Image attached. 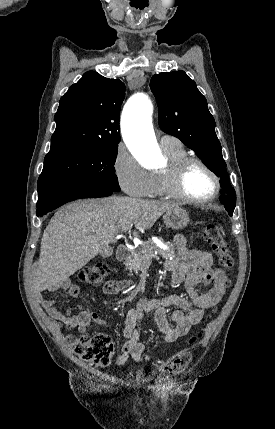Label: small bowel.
I'll use <instances>...</instances> for the list:
<instances>
[{
    "label": "small bowel",
    "mask_w": 275,
    "mask_h": 429,
    "mask_svg": "<svg viewBox=\"0 0 275 429\" xmlns=\"http://www.w3.org/2000/svg\"><path fill=\"white\" fill-rule=\"evenodd\" d=\"M177 257L166 261L165 267L171 273L172 284L185 282L188 297L171 294L159 299L142 298L134 309H131L125 320L123 330L124 343L122 352L117 358V364L123 365L131 357L136 362L148 360L144 355L145 344L140 341L138 323L147 312H153L154 321L158 330L163 334L168 343L175 342L185 336L190 328L197 324L206 308L216 305L222 298L225 287L223 279L225 273L222 269L214 266L213 256L202 250H187L185 238L178 235L175 238ZM128 280H110L104 285V292L108 295L117 294L130 286ZM202 285L206 290L202 293L197 287ZM58 288L68 290L72 297L80 296L79 287L69 281L57 285ZM47 287L45 290H52ZM39 303L53 318L75 327L80 333L86 332L91 323L108 327L98 314L91 308L78 306L77 312L72 314L71 310L59 311L51 299L38 297ZM173 306L175 310L171 315L173 324H170L166 308Z\"/></svg>",
    "instance_id": "obj_1"
}]
</instances>
